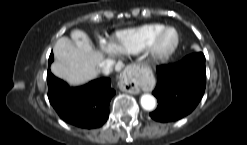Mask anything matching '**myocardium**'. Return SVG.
<instances>
[{"label":"myocardium","instance_id":"1","mask_svg":"<svg viewBox=\"0 0 247 145\" xmlns=\"http://www.w3.org/2000/svg\"><path fill=\"white\" fill-rule=\"evenodd\" d=\"M172 31L175 35V40L173 45L165 50L159 48V40L161 36L167 32ZM180 44V34L178 30L173 26H163L161 27L151 38L149 44L147 45L145 51L148 58L149 63L151 64H159L162 63L176 52Z\"/></svg>","mask_w":247,"mask_h":145}]
</instances>
